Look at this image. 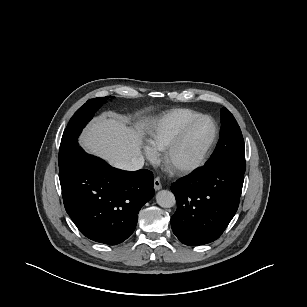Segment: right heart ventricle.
<instances>
[{"mask_svg": "<svg viewBox=\"0 0 307 307\" xmlns=\"http://www.w3.org/2000/svg\"><path fill=\"white\" fill-rule=\"evenodd\" d=\"M202 115L201 113L188 109H173L161 116L151 133L149 147L155 152L164 151L181 129L192 119Z\"/></svg>", "mask_w": 307, "mask_h": 307, "instance_id": "right-heart-ventricle-1", "label": "right heart ventricle"}]
</instances>
